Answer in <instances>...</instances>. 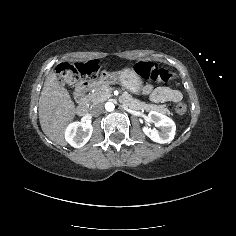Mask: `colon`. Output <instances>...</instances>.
Here are the masks:
<instances>
[{
	"label": "colon",
	"instance_id": "1",
	"mask_svg": "<svg viewBox=\"0 0 236 236\" xmlns=\"http://www.w3.org/2000/svg\"><path fill=\"white\" fill-rule=\"evenodd\" d=\"M97 70L95 63L87 64H61L57 69V75L59 81L65 86H71L75 84L79 78L83 75H89ZM136 73L141 77L156 81V82H168L173 80L176 75L173 72L161 68L155 62L141 61L135 66ZM187 111V105L184 102H180L176 106V112L179 115L185 114Z\"/></svg>",
	"mask_w": 236,
	"mask_h": 236
}]
</instances>
